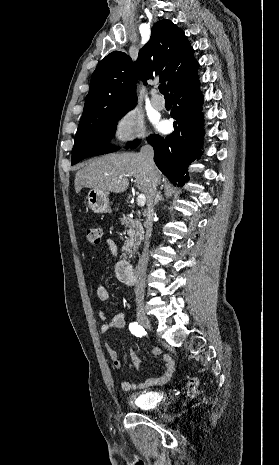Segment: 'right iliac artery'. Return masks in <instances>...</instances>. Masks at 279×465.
I'll return each instance as SVG.
<instances>
[{"label": "right iliac artery", "instance_id": "right-iliac-artery-1", "mask_svg": "<svg viewBox=\"0 0 279 465\" xmlns=\"http://www.w3.org/2000/svg\"><path fill=\"white\" fill-rule=\"evenodd\" d=\"M129 329L132 334L135 336L141 337L145 334V330L142 326H140L137 322H132L129 325Z\"/></svg>", "mask_w": 279, "mask_h": 465}]
</instances>
